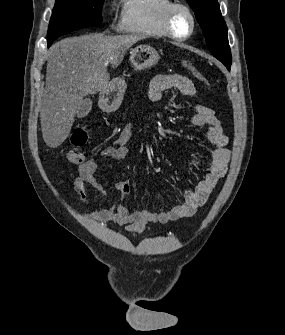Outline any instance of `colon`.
Instances as JSON below:
<instances>
[{
  "label": "colon",
  "mask_w": 285,
  "mask_h": 335,
  "mask_svg": "<svg viewBox=\"0 0 285 335\" xmlns=\"http://www.w3.org/2000/svg\"><path fill=\"white\" fill-rule=\"evenodd\" d=\"M183 66L205 86L209 87V82L205 75L191 62L184 61ZM90 130L88 127H79L71 135L70 142L72 148L67 152V159L72 164H83L86 162L82 148L89 139Z\"/></svg>",
  "instance_id": "obj_1"
}]
</instances>
